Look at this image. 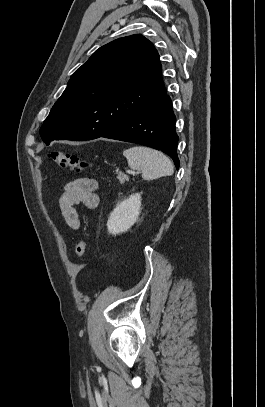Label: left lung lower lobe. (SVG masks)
I'll list each match as a JSON object with an SVG mask.
<instances>
[{
  "label": "left lung lower lobe",
  "mask_w": 265,
  "mask_h": 407,
  "mask_svg": "<svg viewBox=\"0 0 265 407\" xmlns=\"http://www.w3.org/2000/svg\"><path fill=\"white\" fill-rule=\"evenodd\" d=\"M176 117L166 91L153 103L101 137L146 145L168 154L179 168Z\"/></svg>",
  "instance_id": "left-lung-lower-lobe-1"
}]
</instances>
